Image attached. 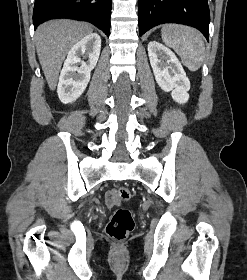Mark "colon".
<instances>
[{"mask_svg":"<svg viewBox=\"0 0 247 280\" xmlns=\"http://www.w3.org/2000/svg\"><path fill=\"white\" fill-rule=\"evenodd\" d=\"M131 197L130 190L121 187L114 190V199L119 201H127ZM135 226L134 214L126 208H118L112 214L106 225L107 235L116 240L122 241L133 231Z\"/></svg>","mask_w":247,"mask_h":280,"instance_id":"1","label":"colon"}]
</instances>
